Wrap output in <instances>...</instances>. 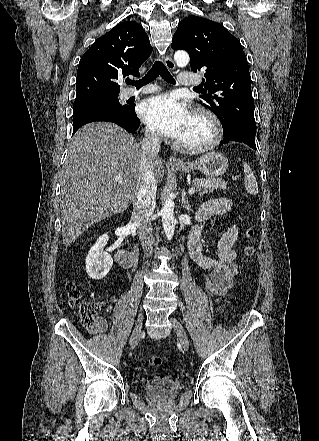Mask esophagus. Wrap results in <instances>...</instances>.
Here are the masks:
<instances>
[{"label": "esophagus", "instance_id": "1", "mask_svg": "<svg viewBox=\"0 0 319 441\" xmlns=\"http://www.w3.org/2000/svg\"><path fill=\"white\" fill-rule=\"evenodd\" d=\"M164 64L170 70H174L176 67L174 61L172 60V58L169 55H166L164 57ZM168 164L173 165V166L174 165H182V162L179 159H177L176 157L170 156L168 158Z\"/></svg>", "mask_w": 319, "mask_h": 441}]
</instances>
